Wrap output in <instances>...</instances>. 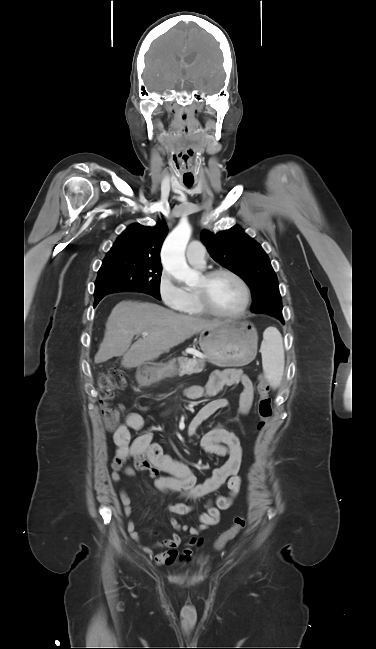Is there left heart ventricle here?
I'll use <instances>...</instances> for the list:
<instances>
[{
	"instance_id": "1",
	"label": "left heart ventricle",
	"mask_w": 376,
	"mask_h": 649,
	"mask_svg": "<svg viewBox=\"0 0 376 649\" xmlns=\"http://www.w3.org/2000/svg\"><path fill=\"white\" fill-rule=\"evenodd\" d=\"M201 284L202 278H200L197 287ZM208 296L214 307L228 313L237 311L244 299L239 283L226 274L218 275L211 280L208 285Z\"/></svg>"
}]
</instances>
